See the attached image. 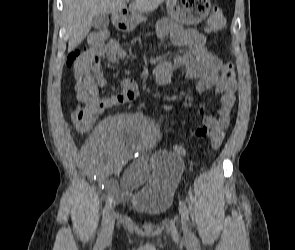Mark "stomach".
Returning <instances> with one entry per match:
<instances>
[{"mask_svg": "<svg viewBox=\"0 0 295 250\" xmlns=\"http://www.w3.org/2000/svg\"><path fill=\"white\" fill-rule=\"evenodd\" d=\"M166 7L167 12L175 21L191 25L200 23L208 16L211 3L210 0H167ZM146 19L140 12H130L123 17L120 26L130 31Z\"/></svg>", "mask_w": 295, "mask_h": 250, "instance_id": "stomach-1", "label": "stomach"}]
</instances>
